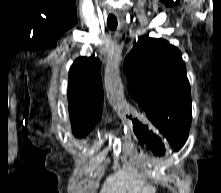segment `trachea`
Instances as JSON below:
<instances>
[{
	"mask_svg": "<svg viewBox=\"0 0 221 193\" xmlns=\"http://www.w3.org/2000/svg\"><path fill=\"white\" fill-rule=\"evenodd\" d=\"M107 25L110 30H115L117 27V19L113 14H110L107 19Z\"/></svg>",
	"mask_w": 221,
	"mask_h": 193,
	"instance_id": "3493384b",
	"label": "trachea"
}]
</instances>
